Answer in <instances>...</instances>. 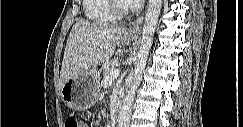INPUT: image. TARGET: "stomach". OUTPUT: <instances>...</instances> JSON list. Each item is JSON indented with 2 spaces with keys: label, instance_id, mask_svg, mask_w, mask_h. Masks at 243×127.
Returning a JSON list of instances; mask_svg holds the SVG:
<instances>
[{
  "label": "stomach",
  "instance_id": "stomach-1",
  "mask_svg": "<svg viewBox=\"0 0 243 127\" xmlns=\"http://www.w3.org/2000/svg\"><path fill=\"white\" fill-rule=\"evenodd\" d=\"M136 36L125 35L124 44H130ZM100 93V71L92 67L80 75L69 79L61 86V98L64 104L72 109L83 111L95 104Z\"/></svg>",
  "mask_w": 243,
  "mask_h": 127
}]
</instances>
